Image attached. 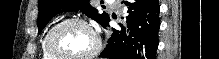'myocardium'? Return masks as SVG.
Masks as SVG:
<instances>
[{
    "instance_id": "1",
    "label": "myocardium",
    "mask_w": 219,
    "mask_h": 59,
    "mask_svg": "<svg viewBox=\"0 0 219 59\" xmlns=\"http://www.w3.org/2000/svg\"><path fill=\"white\" fill-rule=\"evenodd\" d=\"M69 24H79L84 26L85 28H87L89 30V32L92 34L95 44L94 47L92 48L91 51L80 55V56H66L61 54L55 47L54 44V39L55 36L57 34V32L69 25ZM101 46H102V42L101 39L99 37V35L97 34V32L93 29V27L84 19L79 18V17H72V18H66L58 23H56L54 26H52L47 34L46 37V48L48 53L54 57L55 59H93L95 58L100 50H101Z\"/></svg>"
}]
</instances>
